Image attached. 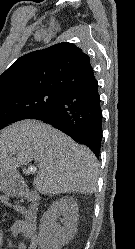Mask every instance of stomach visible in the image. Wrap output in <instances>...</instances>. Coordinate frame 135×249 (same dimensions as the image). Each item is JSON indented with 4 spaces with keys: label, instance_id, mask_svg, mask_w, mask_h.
Segmentation results:
<instances>
[{
    "label": "stomach",
    "instance_id": "1",
    "mask_svg": "<svg viewBox=\"0 0 135 249\" xmlns=\"http://www.w3.org/2000/svg\"><path fill=\"white\" fill-rule=\"evenodd\" d=\"M15 177V172L0 168V189H4L6 186L14 183Z\"/></svg>",
    "mask_w": 135,
    "mask_h": 249
}]
</instances>
